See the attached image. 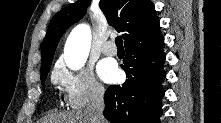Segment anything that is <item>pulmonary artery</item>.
I'll return each mask as SVG.
<instances>
[{
    "instance_id": "pulmonary-artery-1",
    "label": "pulmonary artery",
    "mask_w": 221,
    "mask_h": 123,
    "mask_svg": "<svg viewBox=\"0 0 221 123\" xmlns=\"http://www.w3.org/2000/svg\"><path fill=\"white\" fill-rule=\"evenodd\" d=\"M102 52L105 55L114 56L117 54V48L112 41H107L102 46Z\"/></svg>"
}]
</instances>
